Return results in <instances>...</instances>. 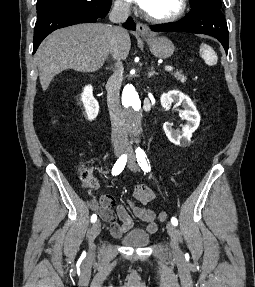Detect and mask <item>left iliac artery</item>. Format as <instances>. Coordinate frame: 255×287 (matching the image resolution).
<instances>
[{
  "mask_svg": "<svg viewBox=\"0 0 255 287\" xmlns=\"http://www.w3.org/2000/svg\"><path fill=\"white\" fill-rule=\"evenodd\" d=\"M136 158L139 166L144 172L150 171V162L145 154V152L141 148L136 149ZM171 223L176 226L178 224V220L175 217H172Z\"/></svg>",
  "mask_w": 255,
  "mask_h": 287,
  "instance_id": "1",
  "label": "left iliac artery"
}]
</instances>
